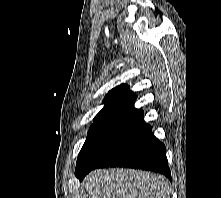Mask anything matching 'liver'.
Wrapping results in <instances>:
<instances>
[{"label":"liver","mask_w":221,"mask_h":198,"mask_svg":"<svg viewBox=\"0 0 221 198\" xmlns=\"http://www.w3.org/2000/svg\"><path fill=\"white\" fill-rule=\"evenodd\" d=\"M84 184L88 198H170L164 177L141 170L98 169L87 175Z\"/></svg>","instance_id":"obj_1"}]
</instances>
